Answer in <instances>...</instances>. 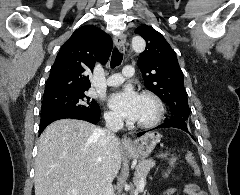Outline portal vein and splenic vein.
Returning <instances> with one entry per match:
<instances>
[{
  "instance_id": "portal-vein-and-splenic-vein-1",
  "label": "portal vein and splenic vein",
  "mask_w": 240,
  "mask_h": 195,
  "mask_svg": "<svg viewBox=\"0 0 240 195\" xmlns=\"http://www.w3.org/2000/svg\"><path fill=\"white\" fill-rule=\"evenodd\" d=\"M144 187H145V182H138V189L144 192L146 190ZM71 191H73V193H77V189H71Z\"/></svg>"
}]
</instances>
